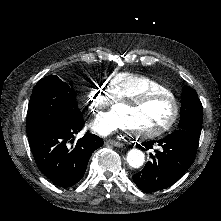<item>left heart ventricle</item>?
Segmentation results:
<instances>
[{
    "instance_id": "left-heart-ventricle-1",
    "label": "left heart ventricle",
    "mask_w": 221,
    "mask_h": 221,
    "mask_svg": "<svg viewBox=\"0 0 221 221\" xmlns=\"http://www.w3.org/2000/svg\"><path fill=\"white\" fill-rule=\"evenodd\" d=\"M170 121L168 105L157 97L149 98L139 106L137 117L132 124V130L156 127Z\"/></svg>"
}]
</instances>
